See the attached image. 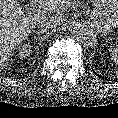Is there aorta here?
I'll use <instances>...</instances> for the list:
<instances>
[{
  "label": "aorta",
  "instance_id": "1",
  "mask_svg": "<svg viewBox=\"0 0 118 118\" xmlns=\"http://www.w3.org/2000/svg\"><path fill=\"white\" fill-rule=\"evenodd\" d=\"M69 29L73 37L84 47L95 48L97 46V39L93 32L80 22L70 23Z\"/></svg>",
  "mask_w": 118,
  "mask_h": 118
}]
</instances>
